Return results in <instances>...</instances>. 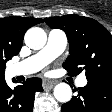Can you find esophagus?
I'll return each mask as SVG.
<instances>
[{
  "instance_id": "esophagus-1",
  "label": "esophagus",
  "mask_w": 112,
  "mask_h": 112,
  "mask_svg": "<svg viewBox=\"0 0 112 112\" xmlns=\"http://www.w3.org/2000/svg\"><path fill=\"white\" fill-rule=\"evenodd\" d=\"M55 84L53 80H43L42 86L44 89H52Z\"/></svg>"
}]
</instances>
